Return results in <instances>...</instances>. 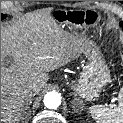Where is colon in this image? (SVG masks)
<instances>
[{"label": "colon", "mask_w": 123, "mask_h": 123, "mask_svg": "<svg viewBox=\"0 0 123 123\" xmlns=\"http://www.w3.org/2000/svg\"><path fill=\"white\" fill-rule=\"evenodd\" d=\"M121 62L123 64V52L121 53Z\"/></svg>", "instance_id": "obj_1"}]
</instances>
